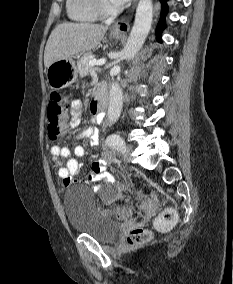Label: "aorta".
Masks as SVG:
<instances>
[{
  "label": "aorta",
  "instance_id": "762f6f07",
  "mask_svg": "<svg viewBox=\"0 0 233 284\" xmlns=\"http://www.w3.org/2000/svg\"><path fill=\"white\" fill-rule=\"evenodd\" d=\"M153 18L152 0H139L134 25L123 50L124 59L132 60L144 44L151 29ZM123 107V93L118 82H113L110 89L107 118L110 123L116 122Z\"/></svg>",
  "mask_w": 233,
  "mask_h": 284
}]
</instances>
